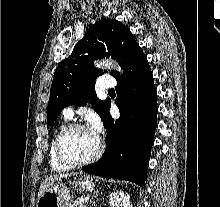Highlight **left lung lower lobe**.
Masks as SVG:
<instances>
[{
	"label": "left lung lower lobe",
	"mask_w": 220,
	"mask_h": 207,
	"mask_svg": "<svg viewBox=\"0 0 220 207\" xmlns=\"http://www.w3.org/2000/svg\"><path fill=\"white\" fill-rule=\"evenodd\" d=\"M124 77L118 74L116 92L121 117L114 123L109 107L103 119L107 148L99 161L85 172L144 185L150 151L157 127L156 88L141 47L137 45L126 61Z\"/></svg>",
	"instance_id": "obj_1"
}]
</instances>
